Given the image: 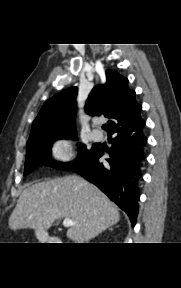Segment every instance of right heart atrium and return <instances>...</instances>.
I'll use <instances>...</instances> for the list:
<instances>
[{"mask_svg":"<svg viewBox=\"0 0 181 288\" xmlns=\"http://www.w3.org/2000/svg\"><path fill=\"white\" fill-rule=\"evenodd\" d=\"M51 155L54 160L68 162L73 158V143L69 137H61L51 145Z\"/></svg>","mask_w":181,"mask_h":288,"instance_id":"right-heart-atrium-1","label":"right heart atrium"}]
</instances>
